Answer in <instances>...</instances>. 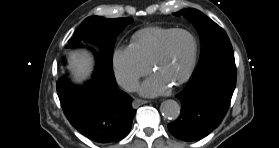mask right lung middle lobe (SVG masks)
Here are the masks:
<instances>
[{
    "label": "right lung middle lobe",
    "instance_id": "right-lung-middle-lobe-1",
    "mask_svg": "<svg viewBox=\"0 0 279 148\" xmlns=\"http://www.w3.org/2000/svg\"><path fill=\"white\" fill-rule=\"evenodd\" d=\"M131 21L132 18L88 17L77 28L70 43H78L83 40L98 45L105 62L112 67V54L116 37Z\"/></svg>",
    "mask_w": 279,
    "mask_h": 148
}]
</instances>
